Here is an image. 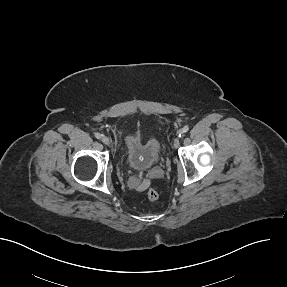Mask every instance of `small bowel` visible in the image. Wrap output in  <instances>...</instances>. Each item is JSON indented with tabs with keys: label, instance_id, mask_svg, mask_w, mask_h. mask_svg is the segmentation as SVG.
<instances>
[{
	"label": "small bowel",
	"instance_id": "obj_1",
	"mask_svg": "<svg viewBox=\"0 0 287 287\" xmlns=\"http://www.w3.org/2000/svg\"><path fill=\"white\" fill-rule=\"evenodd\" d=\"M145 189V185H140L139 187H138V190H140V191H142V190H144Z\"/></svg>",
	"mask_w": 287,
	"mask_h": 287
}]
</instances>
